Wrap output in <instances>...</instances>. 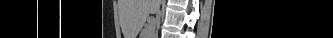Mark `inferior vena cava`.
Wrapping results in <instances>:
<instances>
[{
    "label": "inferior vena cava",
    "instance_id": "602c4592",
    "mask_svg": "<svg viewBox=\"0 0 333 38\" xmlns=\"http://www.w3.org/2000/svg\"><path fill=\"white\" fill-rule=\"evenodd\" d=\"M159 2V4H160V0L158 1ZM160 23V12H159V10H158V12H157V18H156V21H155V24H159ZM154 34V33H153Z\"/></svg>",
    "mask_w": 333,
    "mask_h": 38
}]
</instances>
